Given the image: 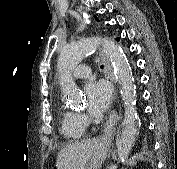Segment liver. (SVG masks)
Here are the masks:
<instances>
[{
    "label": "liver",
    "instance_id": "1",
    "mask_svg": "<svg viewBox=\"0 0 177 169\" xmlns=\"http://www.w3.org/2000/svg\"><path fill=\"white\" fill-rule=\"evenodd\" d=\"M98 144L97 139H89L64 147L57 155L56 168L85 169Z\"/></svg>",
    "mask_w": 177,
    "mask_h": 169
}]
</instances>
